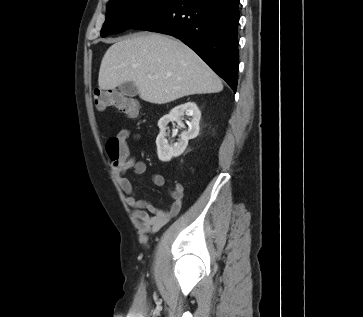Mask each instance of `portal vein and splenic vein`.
<instances>
[{"mask_svg":"<svg viewBox=\"0 0 363 317\" xmlns=\"http://www.w3.org/2000/svg\"><path fill=\"white\" fill-rule=\"evenodd\" d=\"M148 77H149L150 79H152V78H153V77H152V76H150V75H149Z\"/></svg>","mask_w":363,"mask_h":317,"instance_id":"obj_1","label":"portal vein and splenic vein"}]
</instances>
